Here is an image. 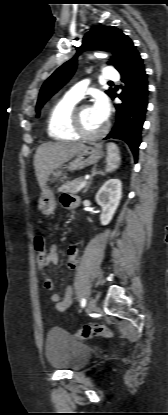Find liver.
<instances>
[{
	"label": "liver",
	"mask_w": 168,
	"mask_h": 415,
	"mask_svg": "<svg viewBox=\"0 0 168 415\" xmlns=\"http://www.w3.org/2000/svg\"><path fill=\"white\" fill-rule=\"evenodd\" d=\"M83 147L82 143L70 142H49L40 145L34 156L35 173L40 188L45 187L55 169L72 159Z\"/></svg>",
	"instance_id": "obj_1"
}]
</instances>
